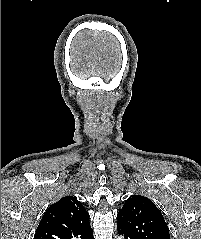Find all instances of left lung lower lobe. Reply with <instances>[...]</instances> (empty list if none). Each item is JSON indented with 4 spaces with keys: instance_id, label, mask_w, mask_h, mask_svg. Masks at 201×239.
<instances>
[{
    "instance_id": "1",
    "label": "left lung lower lobe",
    "mask_w": 201,
    "mask_h": 239,
    "mask_svg": "<svg viewBox=\"0 0 201 239\" xmlns=\"http://www.w3.org/2000/svg\"><path fill=\"white\" fill-rule=\"evenodd\" d=\"M118 233L122 236H124V239H136L133 235L127 233L126 231H123L122 229L118 228Z\"/></svg>"
}]
</instances>
